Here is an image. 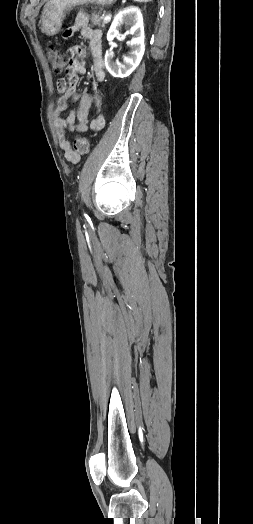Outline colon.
I'll list each match as a JSON object with an SVG mask.
<instances>
[{"label": "colon", "mask_w": 253, "mask_h": 524, "mask_svg": "<svg viewBox=\"0 0 253 524\" xmlns=\"http://www.w3.org/2000/svg\"><path fill=\"white\" fill-rule=\"evenodd\" d=\"M48 57L54 72H61L66 65V55L61 50L50 46L48 50ZM89 151V141L87 137L77 135L73 138L72 148L68 154L70 161L76 162Z\"/></svg>", "instance_id": "colon-1"}]
</instances>
